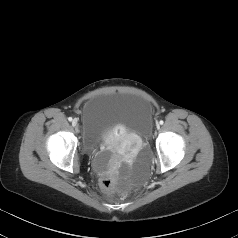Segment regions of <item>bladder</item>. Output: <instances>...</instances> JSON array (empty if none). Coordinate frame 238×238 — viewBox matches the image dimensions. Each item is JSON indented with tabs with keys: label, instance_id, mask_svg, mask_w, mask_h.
I'll return each mask as SVG.
<instances>
[{
	"label": "bladder",
	"instance_id": "1",
	"mask_svg": "<svg viewBox=\"0 0 238 238\" xmlns=\"http://www.w3.org/2000/svg\"><path fill=\"white\" fill-rule=\"evenodd\" d=\"M152 115V104L137 94L109 92L88 99L81 113L82 145L93 156L94 170L104 172L109 167L108 153L99 148L114 128L145 139L151 134Z\"/></svg>",
	"mask_w": 238,
	"mask_h": 238
}]
</instances>
